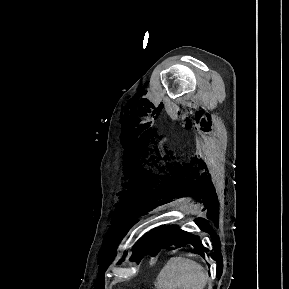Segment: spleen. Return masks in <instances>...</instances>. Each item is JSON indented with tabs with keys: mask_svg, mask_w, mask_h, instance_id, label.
Wrapping results in <instances>:
<instances>
[{
	"mask_svg": "<svg viewBox=\"0 0 289 289\" xmlns=\"http://www.w3.org/2000/svg\"><path fill=\"white\" fill-rule=\"evenodd\" d=\"M208 273L198 262L173 257L161 269L155 282L156 289H204Z\"/></svg>",
	"mask_w": 289,
	"mask_h": 289,
	"instance_id": "spleen-1",
	"label": "spleen"
}]
</instances>
